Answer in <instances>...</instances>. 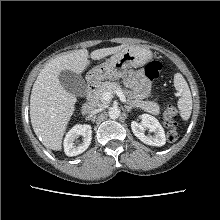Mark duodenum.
Returning <instances> with one entry per match:
<instances>
[{
  "instance_id": "1",
  "label": "duodenum",
  "mask_w": 220,
  "mask_h": 220,
  "mask_svg": "<svg viewBox=\"0 0 220 220\" xmlns=\"http://www.w3.org/2000/svg\"><path fill=\"white\" fill-rule=\"evenodd\" d=\"M96 85L92 82L88 84L87 87V101L84 106V114L90 115L96 108Z\"/></svg>"
}]
</instances>
